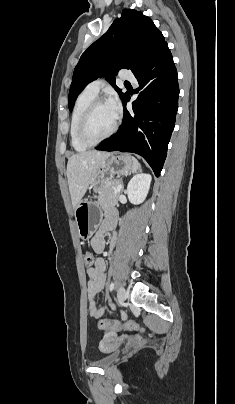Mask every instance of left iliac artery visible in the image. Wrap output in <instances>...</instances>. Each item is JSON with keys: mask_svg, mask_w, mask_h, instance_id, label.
Here are the masks:
<instances>
[{"mask_svg": "<svg viewBox=\"0 0 235 404\" xmlns=\"http://www.w3.org/2000/svg\"><path fill=\"white\" fill-rule=\"evenodd\" d=\"M109 289H110V291H112L114 289V282L110 283Z\"/></svg>", "mask_w": 235, "mask_h": 404, "instance_id": "44dca946", "label": "left iliac artery"}]
</instances>
